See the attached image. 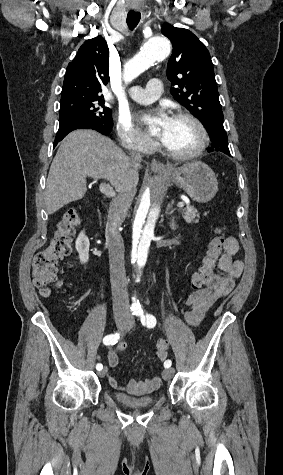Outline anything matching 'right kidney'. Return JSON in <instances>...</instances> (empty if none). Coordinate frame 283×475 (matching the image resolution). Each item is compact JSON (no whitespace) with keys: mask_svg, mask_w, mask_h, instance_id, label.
I'll list each match as a JSON object with an SVG mask.
<instances>
[{"mask_svg":"<svg viewBox=\"0 0 283 475\" xmlns=\"http://www.w3.org/2000/svg\"><path fill=\"white\" fill-rule=\"evenodd\" d=\"M89 245L90 241L87 238L85 232H80L78 238L75 241V247L79 253V259L81 263H86L89 259Z\"/></svg>","mask_w":283,"mask_h":475,"instance_id":"ca27d5eb","label":"right kidney"}]
</instances>
